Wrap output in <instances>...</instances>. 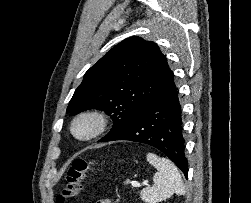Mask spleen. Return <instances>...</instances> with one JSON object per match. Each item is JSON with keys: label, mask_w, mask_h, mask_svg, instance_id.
<instances>
[{"label": "spleen", "mask_w": 251, "mask_h": 203, "mask_svg": "<svg viewBox=\"0 0 251 203\" xmlns=\"http://www.w3.org/2000/svg\"><path fill=\"white\" fill-rule=\"evenodd\" d=\"M147 161L157 169V172L153 177L154 185L146 187L140 192L144 202L157 203L170 198L174 193L185 194L181 175L169 159L148 153Z\"/></svg>", "instance_id": "3e777b00"}]
</instances>
